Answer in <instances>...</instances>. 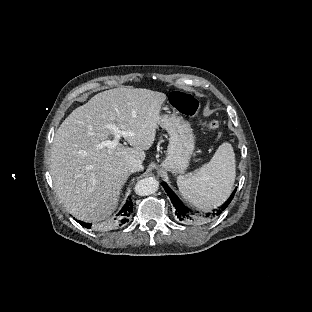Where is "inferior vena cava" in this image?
<instances>
[{"label":"inferior vena cava","instance_id":"602c4592","mask_svg":"<svg viewBox=\"0 0 312 312\" xmlns=\"http://www.w3.org/2000/svg\"><path fill=\"white\" fill-rule=\"evenodd\" d=\"M142 170H143V165L139 161H134L129 164V167H128L129 173L140 172Z\"/></svg>","mask_w":312,"mask_h":312}]
</instances>
